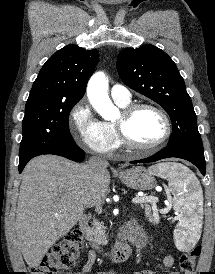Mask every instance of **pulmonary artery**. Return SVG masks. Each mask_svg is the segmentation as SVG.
Wrapping results in <instances>:
<instances>
[{
    "label": "pulmonary artery",
    "instance_id": "pulmonary-artery-1",
    "mask_svg": "<svg viewBox=\"0 0 215 274\" xmlns=\"http://www.w3.org/2000/svg\"><path fill=\"white\" fill-rule=\"evenodd\" d=\"M111 97L114 101L128 103L131 99L129 90L120 84H115L111 88Z\"/></svg>",
    "mask_w": 215,
    "mask_h": 274
}]
</instances>
